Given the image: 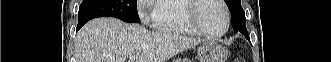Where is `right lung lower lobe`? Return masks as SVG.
<instances>
[{"instance_id": "98d812e1", "label": "right lung lower lobe", "mask_w": 331, "mask_h": 62, "mask_svg": "<svg viewBox=\"0 0 331 62\" xmlns=\"http://www.w3.org/2000/svg\"><path fill=\"white\" fill-rule=\"evenodd\" d=\"M80 27L79 26H77V30L79 29Z\"/></svg>"}]
</instances>
